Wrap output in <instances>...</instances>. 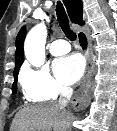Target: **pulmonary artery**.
<instances>
[{
	"mask_svg": "<svg viewBox=\"0 0 117 131\" xmlns=\"http://www.w3.org/2000/svg\"><path fill=\"white\" fill-rule=\"evenodd\" d=\"M69 43L63 39L55 40L51 43L49 51L52 55L60 56L70 51Z\"/></svg>",
	"mask_w": 117,
	"mask_h": 131,
	"instance_id": "1",
	"label": "pulmonary artery"
}]
</instances>
